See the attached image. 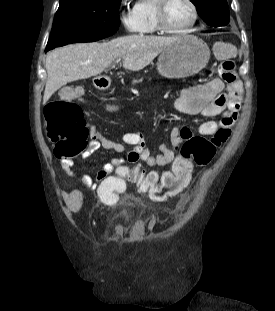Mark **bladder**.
Wrapping results in <instances>:
<instances>
[{
  "mask_svg": "<svg viewBox=\"0 0 275 311\" xmlns=\"http://www.w3.org/2000/svg\"><path fill=\"white\" fill-rule=\"evenodd\" d=\"M133 217L130 209L125 208L120 210L119 212H115L109 219V225H114L118 222H127Z\"/></svg>",
  "mask_w": 275,
  "mask_h": 311,
  "instance_id": "bladder-1",
  "label": "bladder"
}]
</instances>
